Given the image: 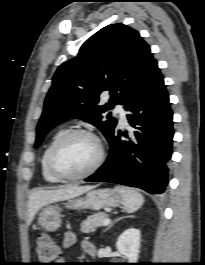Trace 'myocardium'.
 <instances>
[{
  "mask_svg": "<svg viewBox=\"0 0 205 265\" xmlns=\"http://www.w3.org/2000/svg\"><path fill=\"white\" fill-rule=\"evenodd\" d=\"M79 135L87 136V137L91 138L92 140H94V142L96 143V145L98 147L97 159L90 168H88L86 171H84L82 173H79L76 175L63 174L60 171H58L53 164L54 154L64 142H66L68 139H70L74 136H79ZM104 158H105V150H104V147H103V144H102L100 138L90 130L78 128V129H71V130L65 131L52 143V145L50 146V148L47 152L46 166H47L48 171L56 179H58L60 181H78V180L88 178L91 175H93L94 173H96L100 169V167L102 166V164L104 162Z\"/></svg>",
  "mask_w": 205,
  "mask_h": 265,
  "instance_id": "1",
  "label": "myocardium"
}]
</instances>
